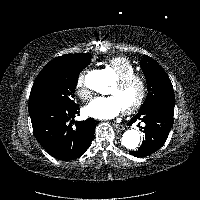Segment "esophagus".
<instances>
[{
    "instance_id": "1",
    "label": "esophagus",
    "mask_w": 200,
    "mask_h": 200,
    "mask_svg": "<svg viewBox=\"0 0 200 200\" xmlns=\"http://www.w3.org/2000/svg\"><path fill=\"white\" fill-rule=\"evenodd\" d=\"M113 126H114V128H116V129H118V130L124 129L123 125H121V124L113 123Z\"/></svg>"
}]
</instances>
